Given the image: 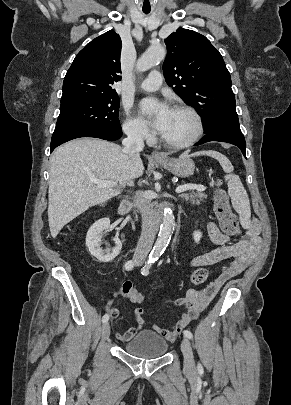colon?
Wrapping results in <instances>:
<instances>
[{
  "mask_svg": "<svg viewBox=\"0 0 291 405\" xmlns=\"http://www.w3.org/2000/svg\"><path fill=\"white\" fill-rule=\"evenodd\" d=\"M214 212L218 219L221 230L230 236L238 235L240 227L238 220L233 213L229 197L224 189H217L214 194ZM208 278V271L204 268H198L190 276L191 283L199 285ZM122 295L134 303H140L144 299L142 292L137 290L131 282H125L121 287Z\"/></svg>",
  "mask_w": 291,
  "mask_h": 405,
  "instance_id": "5ec220e1",
  "label": "colon"
}]
</instances>
